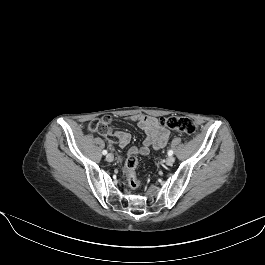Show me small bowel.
<instances>
[{
	"mask_svg": "<svg viewBox=\"0 0 265 265\" xmlns=\"http://www.w3.org/2000/svg\"><path fill=\"white\" fill-rule=\"evenodd\" d=\"M127 121L135 123L146 134L143 145L138 148L132 146L128 150V155H148L152 150H159L166 146L169 131L162 127L159 120L155 117L146 116L143 114H135L126 117ZM111 142H115L121 148H125L131 141V135L125 131H115L113 133H102Z\"/></svg>",
	"mask_w": 265,
	"mask_h": 265,
	"instance_id": "small-bowel-1",
	"label": "small bowel"
}]
</instances>
